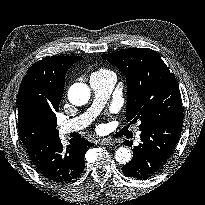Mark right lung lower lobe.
Returning a JSON list of instances; mask_svg holds the SVG:
<instances>
[{"mask_svg":"<svg viewBox=\"0 0 205 205\" xmlns=\"http://www.w3.org/2000/svg\"><path fill=\"white\" fill-rule=\"evenodd\" d=\"M63 147L59 136L25 145L30 160L42 176L56 182L71 181L85 168L84 156L93 143L84 138L71 139Z\"/></svg>","mask_w":205,"mask_h":205,"instance_id":"obj_1","label":"right lung lower lobe"}]
</instances>
